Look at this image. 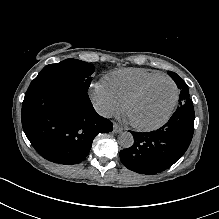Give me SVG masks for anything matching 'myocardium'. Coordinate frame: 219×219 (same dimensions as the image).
Listing matches in <instances>:
<instances>
[{
    "label": "myocardium",
    "mask_w": 219,
    "mask_h": 219,
    "mask_svg": "<svg viewBox=\"0 0 219 219\" xmlns=\"http://www.w3.org/2000/svg\"><path fill=\"white\" fill-rule=\"evenodd\" d=\"M164 80L169 81L173 85L174 97H173V100L170 103L169 107L165 111L164 115L162 116V118L159 121H157L155 123H151V124H141V123H137V122L133 121L131 116H130V109H131L132 105L136 101H138L156 83H158L160 81H164ZM178 97H179V89H178L176 83L171 78H169L167 76H162V77L154 79V80L150 81L149 83L145 84L138 91H136L132 96H130V98L125 103L124 111H125L127 118L129 119L130 124L134 128L139 129V130H154V129H157L160 126L164 125L168 121L169 117L171 116V114H172V112L177 104Z\"/></svg>",
    "instance_id": "1"
}]
</instances>
